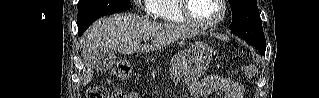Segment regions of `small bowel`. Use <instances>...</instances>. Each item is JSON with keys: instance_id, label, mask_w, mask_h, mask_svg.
<instances>
[{"instance_id": "obj_1", "label": "small bowel", "mask_w": 319, "mask_h": 98, "mask_svg": "<svg viewBox=\"0 0 319 98\" xmlns=\"http://www.w3.org/2000/svg\"><path fill=\"white\" fill-rule=\"evenodd\" d=\"M172 77L175 82L180 80V71L177 68L172 69ZM208 93H214L218 90H222L226 93V98H242L243 86L233 80L211 76L207 79Z\"/></svg>"}]
</instances>
